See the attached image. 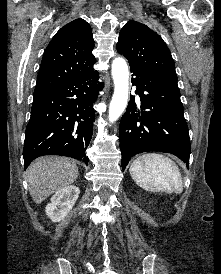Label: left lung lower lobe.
<instances>
[{
    "instance_id": "0a47b994",
    "label": "left lung lower lobe",
    "mask_w": 221,
    "mask_h": 274,
    "mask_svg": "<svg viewBox=\"0 0 221 274\" xmlns=\"http://www.w3.org/2000/svg\"><path fill=\"white\" fill-rule=\"evenodd\" d=\"M140 101L131 96L120 121L122 169L132 156L148 151L171 153L189 164L188 127L178 86L130 65Z\"/></svg>"
}]
</instances>
